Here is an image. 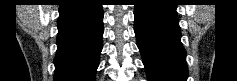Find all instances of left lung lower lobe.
Segmentation results:
<instances>
[{
    "mask_svg": "<svg viewBox=\"0 0 237 81\" xmlns=\"http://www.w3.org/2000/svg\"><path fill=\"white\" fill-rule=\"evenodd\" d=\"M173 0H141L134 30L148 81H186V51Z\"/></svg>",
    "mask_w": 237,
    "mask_h": 81,
    "instance_id": "1",
    "label": "left lung lower lobe"
}]
</instances>
